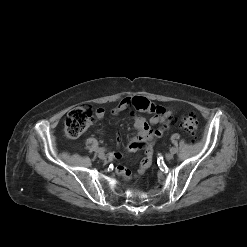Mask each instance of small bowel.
I'll list each match as a JSON object with an SVG mask.
<instances>
[{
  "label": "small bowel",
  "mask_w": 247,
  "mask_h": 247,
  "mask_svg": "<svg viewBox=\"0 0 247 247\" xmlns=\"http://www.w3.org/2000/svg\"><path fill=\"white\" fill-rule=\"evenodd\" d=\"M131 110L134 118V127L137 131L136 136L132 137L128 144L127 150L129 152H135L137 150H143L146 156L142 159L138 170V175H141L151 165L152 147L156 139L163 135V132L168 126V121L173 115V111L163 106L150 102L145 97L134 96L126 97L121 100L119 104L110 109V113L117 115L122 111ZM134 111L147 112L151 114L149 119L143 116L137 115ZM106 110L99 108L96 110L95 116L97 119H103L105 117ZM153 125H159V128L153 129ZM121 142L120 135L117 136V144ZM122 154L120 152L115 153L114 158L120 159ZM116 173L126 179L131 178L132 173L123 165L116 167Z\"/></svg>",
  "instance_id": "1"
}]
</instances>
